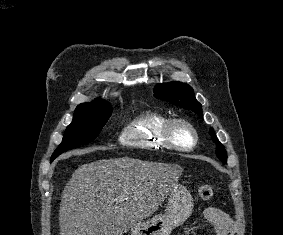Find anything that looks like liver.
<instances>
[{
    "instance_id": "6515ba94",
    "label": "liver",
    "mask_w": 283,
    "mask_h": 235,
    "mask_svg": "<svg viewBox=\"0 0 283 235\" xmlns=\"http://www.w3.org/2000/svg\"><path fill=\"white\" fill-rule=\"evenodd\" d=\"M182 172L130 157L81 165L62 193L60 235H123L158 210Z\"/></svg>"
}]
</instances>
